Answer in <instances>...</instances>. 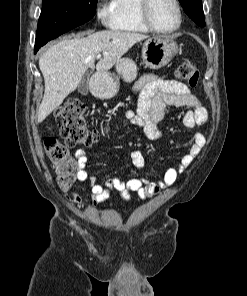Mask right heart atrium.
I'll list each match as a JSON object with an SVG mask.
<instances>
[{
    "label": "right heart atrium",
    "mask_w": 247,
    "mask_h": 296,
    "mask_svg": "<svg viewBox=\"0 0 247 296\" xmlns=\"http://www.w3.org/2000/svg\"><path fill=\"white\" fill-rule=\"evenodd\" d=\"M95 16L100 23L104 25L110 24V21L112 18V12L106 0L96 1Z\"/></svg>",
    "instance_id": "right-heart-atrium-1"
}]
</instances>
